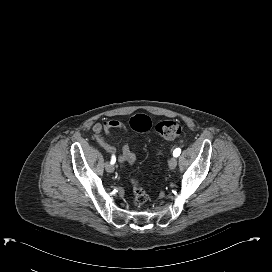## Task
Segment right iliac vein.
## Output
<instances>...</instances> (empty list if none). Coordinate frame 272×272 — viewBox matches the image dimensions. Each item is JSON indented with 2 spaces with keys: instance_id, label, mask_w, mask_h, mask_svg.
Here are the masks:
<instances>
[{
  "instance_id": "1",
  "label": "right iliac vein",
  "mask_w": 272,
  "mask_h": 272,
  "mask_svg": "<svg viewBox=\"0 0 272 272\" xmlns=\"http://www.w3.org/2000/svg\"><path fill=\"white\" fill-rule=\"evenodd\" d=\"M105 169H106L107 172L112 173V172H114L115 167L111 163H106L105 164Z\"/></svg>"
}]
</instances>
